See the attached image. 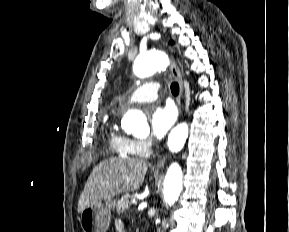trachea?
<instances>
[{"mask_svg": "<svg viewBox=\"0 0 289 232\" xmlns=\"http://www.w3.org/2000/svg\"><path fill=\"white\" fill-rule=\"evenodd\" d=\"M171 92L173 95H178L179 94V85L178 83L174 82L171 84Z\"/></svg>", "mask_w": 289, "mask_h": 232, "instance_id": "3493384b", "label": "trachea"}]
</instances>
